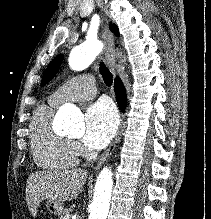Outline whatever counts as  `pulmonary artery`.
Returning <instances> with one entry per match:
<instances>
[{
    "label": "pulmonary artery",
    "instance_id": "obj_1",
    "mask_svg": "<svg viewBox=\"0 0 211 219\" xmlns=\"http://www.w3.org/2000/svg\"><path fill=\"white\" fill-rule=\"evenodd\" d=\"M94 79L90 74L80 75L64 82L54 91L49 101L59 105L68 101H84L96 94Z\"/></svg>",
    "mask_w": 211,
    "mask_h": 219
}]
</instances>
